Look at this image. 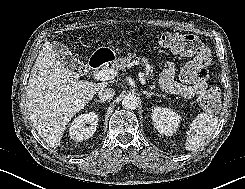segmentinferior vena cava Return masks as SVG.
Listing matches in <instances>:
<instances>
[{"mask_svg":"<svg viewBox=\"0 0 245 189\" xmlns=\"http://www.w3.org/2000/svg\"><path fill=\"white\" fill-rule=\"evenodd\" d=\"M115 95V91L113 88H101L98 92V97L102 101H109L111 100Z\"/></svg>","mask_w":245,"mask_h":189,"instance_id":"inferior-vena-cava-1","label":"inferior vena cava"}]
</instances>
